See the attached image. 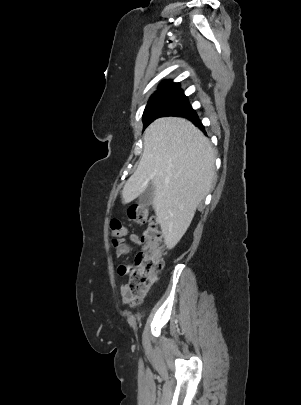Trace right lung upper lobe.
<instances>
[{
  "label": "right lung upper lobe",
  "mask_w": 301,
  "mask_h": 405,
  "mask_svg": "<svg viewBox=\"0 0 301 405\" xmlns=\"http://www.w3.org/2000/svg\"><path fill=\"white\" fill-rule=\"evenodd\" d=\"M176 90H181L179 83H173L172 81L168 80L162 82L159 86V89L152 96Z\"/></svg>",
  "instance_id": "1"
}]
</instances>
